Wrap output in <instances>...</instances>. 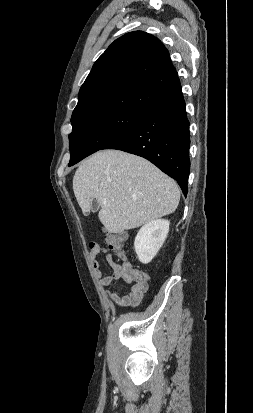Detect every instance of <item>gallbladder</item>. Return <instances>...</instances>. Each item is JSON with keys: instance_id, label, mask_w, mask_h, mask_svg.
<instances>
[{"instance_id": "1", "label": "gallbladder", "mask_w": 253, "mask_h": 413, "mask_svg": "<svg viewBox=\"0 0 253 413\" xmlns=\"http://www.w3.org/2000/svg\"><path fill=\"white\" fill-rule=\"evenodd\" d=\"M100 205L96 199H93L91 209L92 212H96L99 209Z\"/></svg>"}]
</instances>
